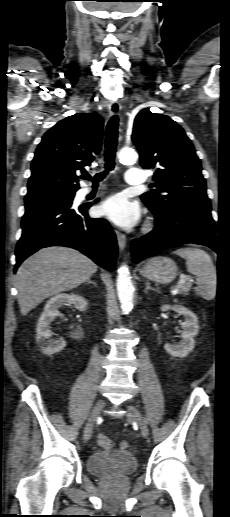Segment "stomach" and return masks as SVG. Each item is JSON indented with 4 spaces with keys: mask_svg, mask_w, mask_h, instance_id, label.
<instances>
[{
    "mask_svg": "<svg viewBox=\"0 0 230 517\" xmlns=\"http://www.w3.org/2000/svg\"><path fill=\"white\" fill-rule=\"evenodd\" d=\"M142 276L158 283L167 284L178 274L176 263L167 257L150 259L140 270Z\"/></svg>",
    "mask_w": 230,
    "mask_h": 517,
    "instance_id": "stomach-1",
    "label": "stomach"
}]
</instances>
